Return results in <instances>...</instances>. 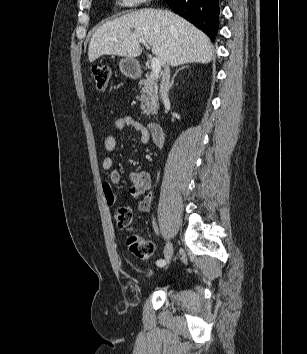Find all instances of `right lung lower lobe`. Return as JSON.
<instances>
[{"label": "right lung lower lobe", "instance_id": "1", "mask_svg": "<svg viewBox=\"0 0 307 354\" xmlns=\"http://www.w3.org/2000/svg\"><path fill=\"white\" fill-rule=\"evenodd\" d=\"M169 7L214 41L219 22V0H164Z\"/></svg>", "mask_w": 307, "mask_h": 354}]
</instances>
